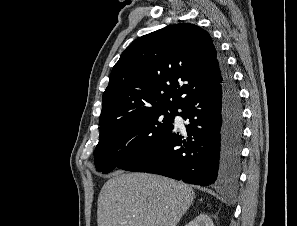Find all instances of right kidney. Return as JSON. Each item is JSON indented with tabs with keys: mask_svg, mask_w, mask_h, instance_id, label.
Masks as SVG:
<instances>
[{
	"mask_svg": "<svg viewBox=\"0 0 297 226\" xmlns=\"http://www.w3.org/2000/svg\"><path fill=\"white\" fill-rule=\"evenodd\" d=\"M185 226H214V224L210 216L200 214Z\"/></svg>",
	"mask_w": 297,
	"mask_h": 226,
	"instance_id": "obj_1",
	"label": "right kidney"
}]
</instances>
